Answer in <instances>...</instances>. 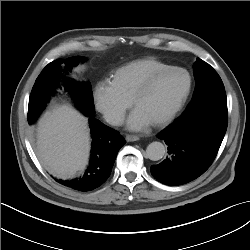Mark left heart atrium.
Segmentation results:
<instances>
[{
    "instance_id": "1",
    "label": "left heart atrium",
    "mask_w": 250,
    "mask_h": 250,
    "mask_svg": "<svg viewBox=\"0 0 250 250\" xmlns=\"http://www.w3.org/2000/svg\"><path fill=\"white\" fill-rule=\"evenodd\" d=\"M151 124L150 119L138 108L132 111L127 121L128 128L136 131L144 130Z\"/></svg>"
}]
</instances>
